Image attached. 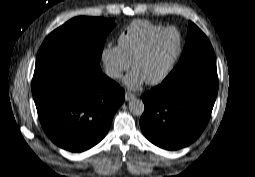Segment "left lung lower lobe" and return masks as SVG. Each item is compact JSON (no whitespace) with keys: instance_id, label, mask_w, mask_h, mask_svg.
Returning <instances> with one entry per match:
<instances>
[{"instance_id":"obj_1","label":"left lung lower lobe","mask_w":255,"mask_h":177,"mask_svg":"<svg viewBox=\"0 0 255 177\" xmlns=\"http://www.w3.org/2000/svg\"><path fill=\"white\" fill-rule=\"evenodd\" d=\"M217 91L216 66L198 67L163 81L142 96L144 135L167 150L191 144L208 123Z\"/></svg>"}]
</instances>
